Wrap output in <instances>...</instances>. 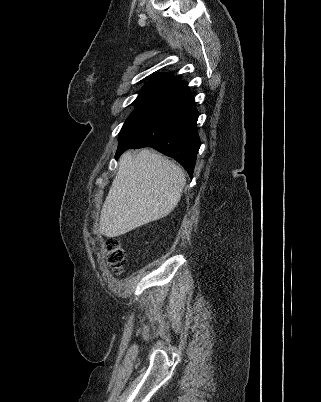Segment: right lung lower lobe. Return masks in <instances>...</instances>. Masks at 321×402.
Listing matches in <instances>:
<instances>
[{
	"instance_id": "98d812e1",
	"label": "right lung lower lobe",
	"mask_w": 321,
	"mask_h": 402,
	"mask_svg": "<svg viewBox=\"0 0 321 402\" xmlns=\"http://www.w3.org/2000/svg\"><path fill=\"white\" fill-rule=\"evenodd\" d=\"M198 112L187 82L119 135L115 158L130 148L152 147L178 161L192 177L200 139Z\"/></svg>"
}]
</instances>
